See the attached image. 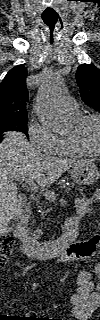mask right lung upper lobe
Segmentation results:
<instances>
[{"label": "right lung upper lobe", "instance_id": "cb5924a9", "mask_svg": "<svg viewBox=\"0 0 100 320\" xmlns=\"http://www.w3.org/2000/svg\"><path fill=\"white\" fill-rule=\"evenodd\" d=\"M27 69L24 65L12 68L0 83V120L27 117L25 86Z\"/></svg>", "mask_w": 100, "mask_h": 320}]
</instances>
